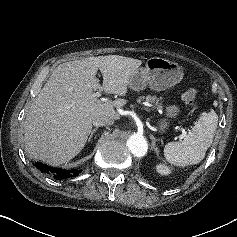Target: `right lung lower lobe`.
Wrapping results in <instances>:
<instances>
[{
    "mask_svg": "<svg viewBox=\"0 0 237 237\" xmlns=\"http://www.w3.org/2000/svg\"><path fill=\"white\" fill-rule=\"evenodd\" d=\"M35 166L41 172L52 173L56 180L66 179V178H70L73 176H78L79 173L81 172V170H78V169L65 170V169H59V168H52L46 164H42L39 162L35 163Z\"/></svg>",
    "mask_w": 237,
    "mask_h": 237,
    "instance_id": "98d812e1",
    "label": "right lung lower lobe"
}]
</instances>
